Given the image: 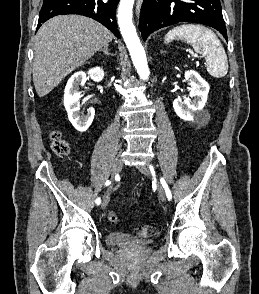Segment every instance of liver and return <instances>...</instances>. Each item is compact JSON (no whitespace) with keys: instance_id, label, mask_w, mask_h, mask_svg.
Masks as SVG:
<instances>
[{"instance_id":"6515ba94","label":"liver","mask_w":259,"mask_h":294,"mask_svg":"<svg viewBox=\"0 0 259 294\" xmlns=\"http://www.w3.org/2000/svg\"><path fill=\"white\" fill-rule=\"evenodd\" d=\"M112 39L106 27L80 15H59L44 23L35 37L32 68L38 96L50 93Z\"/></svg>"}]
</instances>
